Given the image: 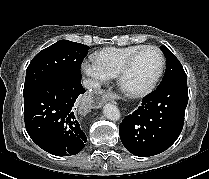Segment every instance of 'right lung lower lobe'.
<instances>
[{
	"mask_svg": "<svg viewBox=\"0 0 209 179\" xmlns=\"http://www.w3.org/2000/svg\"><path fill=\"white\" fill-rule=\"evenodd\" d=\"M84 92L81 80L62 78L45 85L24 102L26 130L40 148L56 156H68L85 147L87 138L73 107Z\"/></svg>",
	"mask_w": 209,
	"mask_h": 179,
	"instance_id": "obj_1",
	"label": "right lung lower lobe"
}]
</instances>
